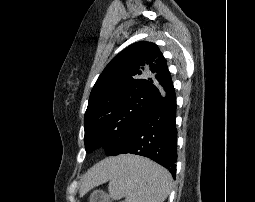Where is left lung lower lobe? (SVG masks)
<instances>
[{"instance_id": "left-lung-lower-lobe-1", "label": "left lung lower lobe", "mask_w": 255, "mask_h": 202, "mask_svg": "<svg viewBox=\"0 0 255 202\" xmlns=\"http://www.w3.org/2000/svg\"><path fill=\"white\" fill-rule=\"evenodd\" d=\"M175 93L164 98L140 123L119 154L148 157L176 175L177 130Z\"/></svg>"}]
</instances>
